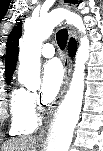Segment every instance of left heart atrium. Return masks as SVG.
Listing matches in <instances>:
<instances>
[{"label": "left heart atrium", "mask_w": 103, "mask_h": 151, "mask_svg": "<svg viewBox=\"0 0 103 151\" xmlns=\"http://www.w3.org/2000/svg\"><path fill=\"white\" fill-rule=\"evenodd\" d=\"M63 81V70L56 60L50 61L43 68L40 99L42 103H51L59 93Z\"/></svg>", "instance_id": "left-heart-atrium-1"}]
</instances>
